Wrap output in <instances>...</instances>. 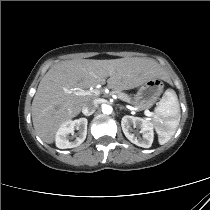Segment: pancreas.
Segmentation results:
<instances>
[{"mask_svg": "<svg viewBox=\"0 0 210 210\" xmlns=\"http://www.w3.org/2000/svg\"><path fill=\"white\" fill-rule=\"evenodd\" d=\"M114 93L117 94V96H118L121 100H123V101H125V102H128V103L131 102V97H130L128 94L123 93V92H120V91H115Z\"/></svg>", "mask_w": 210, "mask_h": 210, "instance_id": "pancreas-1", "label": "pancreas"}]
</instances>
